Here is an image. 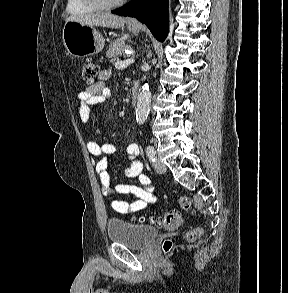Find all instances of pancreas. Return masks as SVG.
Masks as SVG:
<instances>
[{
	"instance_id": "cf45deb5",
	"label": "pancreas",
	"mask_w": 288,
	"mask_h": 293,
	"mask_svg": "<svg viewBox=\"0 0 288 293\" xmlns=\"http://www.w3.org/2000/svg\"><path fill=\"white\" fill-rule=\"evenodd\" d=\"M126 48L125 39H116L110 43L106 52V56L112 58V61H117L123 55V50Z\"/></svg>"
}]
</instances>
